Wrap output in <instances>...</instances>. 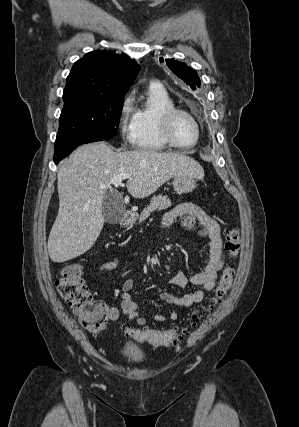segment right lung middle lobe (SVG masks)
I'll return each mask as SVG.
<instances>
[{
  "mask_svg": "<svg viewBox=\"0 0 299 427\" xmlns=\"http://www.w3.org/2000/svg\"><path fill=\"white\" fill-rule=\"evenodd\" d=\"M124 96L81 95L64 100L54 149L117 134Z\"/></svg>",
  "mask_w": 299,
  "mask_h": 427,
  "instance_id": "1",
  "label": "right lung middle lobe"
}]
</instances>
